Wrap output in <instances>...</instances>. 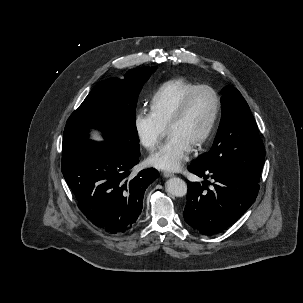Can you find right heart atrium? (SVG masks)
Wrapping results in <instances>:
<instances>
[{
  "instance_id": "obj_1",
  "label": "right heart atrium",
  "mask_w": 303,
  "mask_h": 303,
  "mask_svg": "<svg viewBox=\"0 0 303 303\" xmlns=\"http://www.w3.org/2000/svg\"><path fill=\"white\" fill-rule=\"evenodd\" d=\"M133 127L139 142L149 151L158 146L165 130V126L151 112L145 110L135 113Z\"/></svg>"
}]
</instances>
